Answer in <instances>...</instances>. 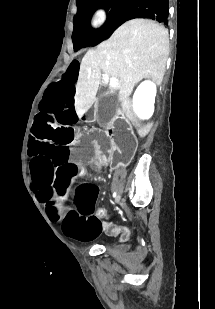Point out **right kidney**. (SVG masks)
Here are the masks:
<instances>
[{
  "mask_svg": "<svg viewBox=\"0 0 215 309\" xmlns=\"http://www.w3.org/2000/svg\"><path fill=\"white\" fill-rule=\"evenodd\" d=\"M157 88L151 80H144L136 88L133 96V108L139 118H150L154 112Z\"/></svg>",
  "mask_w": 215,
  "mask_h": 309,
  "instance_id": "1",
  "label": "right kidney"
}]
</instances>
